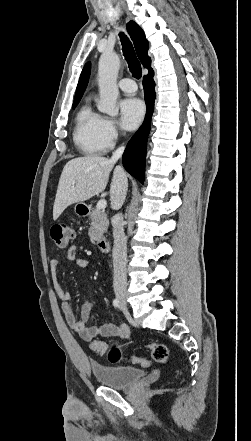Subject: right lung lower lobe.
Segmentation results:
<instances>
[{
  "mask_svg": "<svg viewBox=\"0 0 251 441\" xmlns=\"http://www.w3.org/2000/svg\"><path fill=\"white\" fill-rule=\"evenodd\" d=\"M154 72L149 71L143 78V86L146 102V116L142 126L132 136L123 154V165L126 171L141 183L144 182L146 145L151 128V116L154 110L155 101V82Z\"/></svg>",
  "mask_w": 251,
  "mask_h": 441,
  "instance_id": "right-lung-lower-lobe-1",
  "label": "right lung lower lobe"
}]
</instances>
